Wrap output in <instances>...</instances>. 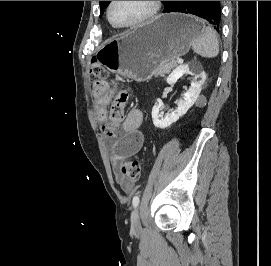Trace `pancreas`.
Returning <instances> with one entry per match:
<instances>
[{
    "label": "pancreas",
    "mask_w": 271,
    "mask_h": 266,
    "mask_svg": "<svg viewBox=\"0 0 271 266\" xmlns=\"http://www.w3.org/2000/svg\"><path fill=\"white\" fill-rule=\"evenodd\" d=\"M176 66H177L176 60H165L161 62L154 70V75L164 76L165 74H168L171 71V69L175 68Z\"/></svg>",
    "instance_id": "pancreas-1"
}]
</instances>
